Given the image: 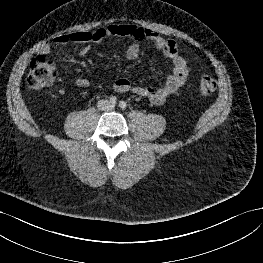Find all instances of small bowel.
Returning <instances> with one entry per match:
<instances>
[{"label": "small bowel", "instance_id": "c3829d8e", "mask_svg": "<svg viewBox=\"0 0 263 263\" xmlns=\"http://www.w3.org/2000/svg\"><path fill=\"white\" fill-rule=\"evenodd\" d=\"M110 37H122L131 40L126 52L129 59H136L139 56V44L141 41L147 40L172 63V73L163 86L159 88L134 86L129 79L119 78L113 84L116 92H131L148 99L155 105H162L185 84L190 74V68L186 60L180 55L177 43L172 39L161 37L150 29L133 24H112L93 32L81 31L63 34L41 45L39 52L42 55H46L54 46L75 43L84 45L81 49V54L85 55L92 44L102 42ZM75 84L78 88H86L89 85V81L86 78L80 77L76 80ZM99 87L103 89L102 85Z\"/></svg>", "mask_w": 263, "mask_h": 263}]
</instances>
